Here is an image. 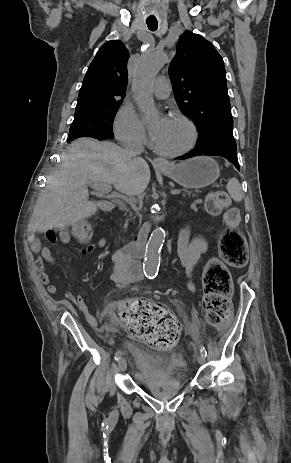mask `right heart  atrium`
Instances as JSON below:
<instances>
[{
    "instance_id": "right-heart-atrium-1",
    "label": "right heart atrium",
    "mask_w": 291,
    "mask_h": 463,
    "mask_svg": "<svg viewBox=\"0 0 291 463\" xmlns=\"http://www.w3.org/2000/svg\"><path fill=\"white\" fill-rule=\"evenodd\" d=\"M114 132L118 140L125 144L141 146L147 142L142 121L127 105L122 106L115 117Z\"/></svg>"
}]
</instances>
